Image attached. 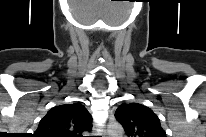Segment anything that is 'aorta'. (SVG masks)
I'll use <instances>...</instances> for the list:
<instances>
[{
    "label": "aorta",
    "mask_w": 206,
    "mask_h": 137,
    "mask_svg": "<svg viewBox=\"0 0 206 137\" xmlns=\"http://www.w3.org/2000/svg\"><path fill=\"white\" fill-rule=\"evenodd\" d=\"M109 137H120L123 135V127L118 123H112L108 126Z\"/></svg>",
    "instance_id": "aorta-1"
}]
</instances>
